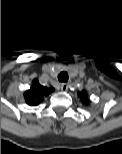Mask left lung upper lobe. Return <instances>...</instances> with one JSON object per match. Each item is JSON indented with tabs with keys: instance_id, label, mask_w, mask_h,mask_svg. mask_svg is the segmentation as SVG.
Wrapping results in <instances>:
<instances>
[{
	"instance_id": "left-lung-upper-lobe-1",
	"label": "left lung upper lobe",
	"mask_w": 122,
	"mask_h": 154,
	"mask_svg": "<svg viewBox=\"0 0 122 154\" xmlns=\"http://www.w3.org/2000/svg\"><path fill=\"white\" fill-rule=\"evenodd\" d=\"M79 96L81 97V100L84 104H87L88 103V99H87V96H86V93L85 92H81L79 93Z\"/></svg>"
}]
</instances>
